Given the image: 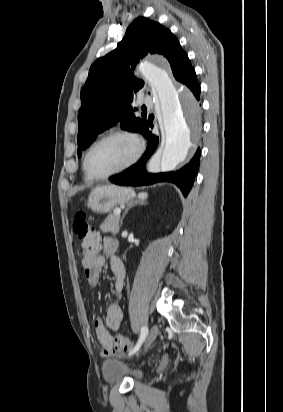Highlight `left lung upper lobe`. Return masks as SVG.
Listing matches in <instances>:
<instances>
[{
    "mask_svg": "<svg viewBox=\"0 0 283 412\" xmlns=\"http://www.w3.org/2000/svg\"><path fill=\"white\" fill-rule=\"evenodd\" d=\"M148 53L165 56L178 81L192 70L190 60L170 30L146 18H137L128 27L117 48L95 61L81 91L78 113V156L107 128L120 123L124 130L142 132L148 125L135 117L131 102L144 82L133 76L139 58Z\"/></svg>",
    "mask_w": 283,
    "mask_h": 412,
    "instance_id": "left-lung-upper-lobe-1",
    "label": "left lung upper lobe"
}]
</instances>
